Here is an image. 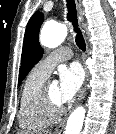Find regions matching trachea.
I'll list each match as a JSON object with an SVG mask.
<instances>
[{
  "instance_id": "obj_1",
  "label": "trachea",
  "mask_w": 116,
  "mask_h": 134,
  "mask_svg": "<svg viewBox=\"0 0 116 134\" xmlns=\"http://www.w3.org/2000/svg\"><path fill=\"white\" fill-rule=\"evenodd\" d=\"M67 11V20L72 24L73 31L76 33L75 42L79 49L85 52L86 44L83 34L78 26L77 10L74 0H67Z\"/></svg>"
}]
</instances>
